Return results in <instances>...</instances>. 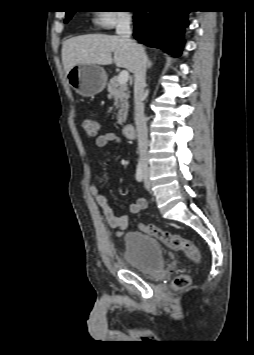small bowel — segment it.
I'll list each match as a JSON object with an SVG mask.
<instances>
[{
    "instance_id": "1",
    "label": "small bowel",
    "mask_w": 254,
    "mask_h": 355,
    "mask_svg": "<svg viewBox=\"0 0 254 355\" xmlns=\"http://www.w3.org/2000/svg\"><path fill=\"white\" fill-rule=\"evenodd\" d=\"M121 138L114 133H105L99 135L95 139V146L103 148L110 143H119ZM90 194L95 199L98 206L102 209L103 216L110 227L115 229L118 236L123 235L127 228L129 221L132 217L138 215L141 211L145 210L148 206L147 200L143 197H137L134 202L129 206L128 213L124 215L116 214L110 207L107 198L100 193L96 185H91L89 188Z\"/></svg>"
}]
</instances>
